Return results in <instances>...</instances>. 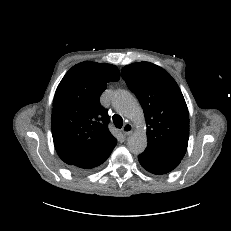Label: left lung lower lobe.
<instances>
[{
  "instance_id": "1",
  "label": "left lung lower lobe",
  "mask_w": 231,
  "mask_h": 231,
  "mask_svg": "<svg viewBox=\"0 0 231 231\" xmlns=\"http://www.w3.org/2000/svg\"><path fill=\"white\" fill-rule=\"evenodd\" d=\"M138 160L145 170L156 175H162L172 171L181 161L164 158L147 152L138 155Z\"/></svg>"
}]
</instances>
